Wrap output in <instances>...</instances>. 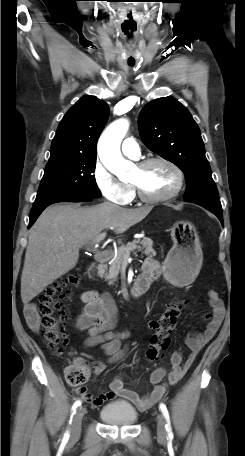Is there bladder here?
I'll return each mask as SVG.
<instances>
[{
    "label": "bladder",
    "mask_w": 245,
    "mask_h": 456,
    "mask_svg": "<svg viewBox=\"0 0 245 456\" xmlns=\"http://www.w3.org/2000/svg\"><path fill=\"white\" fill-rule=\"evenodd\" d=\"M100 418L108 424L129 426L137 421L138 413L128 402L114 401L101 409Z\"/></svg>",
    "instance_id": "obj_1"
}]
</instances>
